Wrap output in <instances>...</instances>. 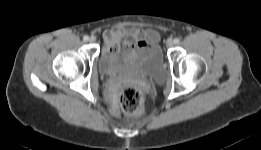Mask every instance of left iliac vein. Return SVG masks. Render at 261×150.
<instances>
[{"instance_id":"obj_1","label":"left iliac vein","mask_w":261,"mask_h":150,"mask_svg":"<svg viewBox=\"0 0 261 150\" xmlns=\"http://www.w3.org/2000/svg\"><path fill=\"white\" fill-rule=\"evenodd\" d=\"M173 44H174V41L171 38L166 41V46L167 47H171V46H173Z\"/></svg>"}]
</instances>
